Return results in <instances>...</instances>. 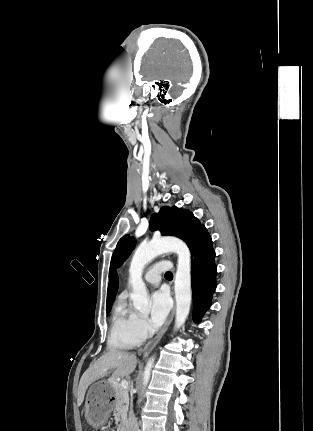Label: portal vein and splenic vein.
I'll return each instance as SVG.
<instances>
[{
  "label": "portal vein and splenic vein",
  "mask_w": 313,
  "mask_h": 431,
  "mask_svg": "<svg viewBox=\"0 0 313 431\" xmlns=\"http://www.w3.org/2000/svg\"><path fill=\"white\" fill-rule=\"evenodd\" d=\"M120 386H121L122 388H124V389H127V388H128V386H129V383H128V381H127V380H122V381H121V383H120Z\"/></svg>",
  "instance_id": "1"
}]
</instances>
